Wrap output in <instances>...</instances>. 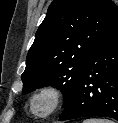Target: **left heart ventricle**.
Returning a JSON list of instances; mask_svg holds the SVG:
<instances>
[{"label": "left heart ventricle", "mask_w": 118, "mask_h": 123, "mask_svg": "<svg viewBox=\"0 0 118 123\" xmlns=\"http://www.w3.org/2000/svg\"><path fill=\"white\" fill-rule=\"evenodd\" d=\"M47 107H48V102L46 99H40L35 104V109L38 112L46 111Z\"/></svg>", "instance_id": "obj_1"}]
</instances>
